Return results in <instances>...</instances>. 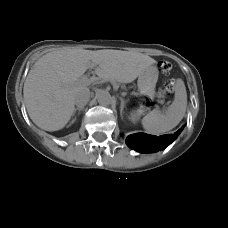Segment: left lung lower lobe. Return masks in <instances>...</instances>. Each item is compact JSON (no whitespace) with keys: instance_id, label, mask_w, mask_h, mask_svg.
<instances>
[{"instance_id":"left-lung-lower-lobe-1","label":"left lung lower lobe","mask_w":228,"mask_h":228,"mask_svg":"<svg viewBox=\"0 0 228 228\" xmlns=\"http://www.w3.org/2000/svg\"><path fill=\"white\" fill-rule=\"evenodd\" d=\"M183 127L173 135H163L160 137L145 133L132 134L126 138V143L131 149L139 152H156L165 149L169 144H171L178 137Z\"/></svg>"}]
</instances>
